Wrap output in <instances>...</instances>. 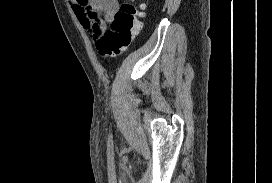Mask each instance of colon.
Listing matches in <instances>:
<instances>
[{"label": "colon", "instance_id": "5ec220e1", "mask_svg": "<svg viewBox=\"0 0 272 183\" xmlns=\"http://www.w3.org/2000/svg\"><path fill=\"white\" fill-rule=\"evenodd\" d=\"M144 5L124 2L115 14L111 27L97 42L99 54L112 58L123 54L132 44L141 28V18L144 15Z\"/></svg>", "mask_w": 272, "mask_h": 183}]
</instances>
